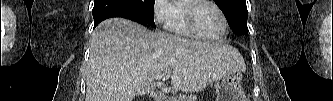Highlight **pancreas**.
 Returning a JSON list of instances; mask_svg holds the SVG:
<instances>
[{"label": "pancreas", "instance_id": "pancreas-1", "mask_svg": "<svg viewBox=\"0 0 333 101\" xmlns=\"http://www.w3.org/2000/svg\"><path fill=\"white\" fill-rule=\"evenodd\" d=\"M172 101H196V97L193 95H179L177 97H172Z\"/></svg>", "mask_w": 333, "mask_h": 101}]
</instances>
